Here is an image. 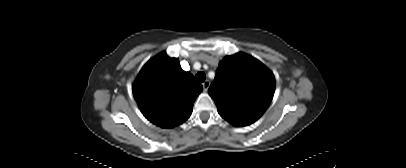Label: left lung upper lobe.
<instances>
[{
  "label": "left lung upper lobe",
  "mask_w": 406,
  "mask_h": 168,
  "mask_svg": "<svg viewBox=\"0 0 406 168\" xmlns=\"http://www.w3.org/2000/svg\"><path fill=\"white\" fill-rule=\"evenodd\" d=\"M275 91L273 73L244 53L226 56L209 88L218 113L232 124L249 125L269 106Z\"/></svg>",
  "instance_id": "5c2ea615"
}]
</instances>
